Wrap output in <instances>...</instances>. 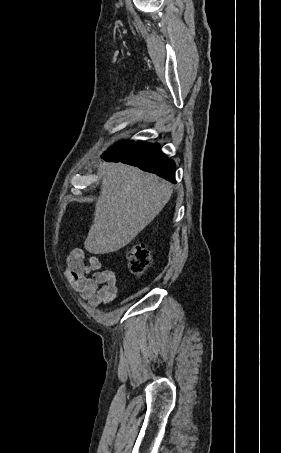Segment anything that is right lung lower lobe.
Here are the masks:
<instances>
[{"label":"right lung lower lobe","mask_w":281,"mask_h":453,"mask_svg":"<svg viewBox=\"0 0 281 453\" xmlns=\"http://www.w3.org/2000/svg\"><path fill=\"white\" fill-rule=\"evenodd\" d=\"M107 161L122 162L157 174L175 183V163L161 152L158 144L142 141H123L109 149L103 156Z\"/></svg>","instance_id":"obj_1"}]
</instances>
